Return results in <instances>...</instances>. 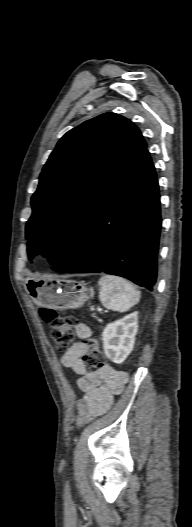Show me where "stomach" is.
<instances>
[{"label":"stomach","instance_id":"obj_1","mask_svg":"<svg viewBox=\"0 0 192 527\" xmlns=\"http://www.w3.org/2000/svg\"><path fill=\"white\" fill-rule=\"evenodd\" d=\"M25 287L35 304L54 310L80 308L89 299L85 284L74 280L34 278Z\"/></svg>","mask_w":192,"mask_h":527}]
</instances>
